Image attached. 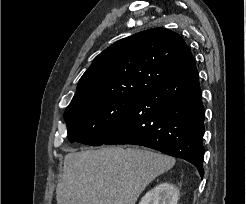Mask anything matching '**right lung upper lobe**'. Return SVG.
<instances>
[{"label":"right lung upper lobe","mask_w":246,"mask_h":204,"mask_svg":"<svg viewBox=\"0 0 246 204\" xmlns=\"http://www.w3.org/2000/svg\"><path fill=\"white\" fill-rule=\"evenodd\" d=\"M193 64L192 53L179 34L148 29L100 53L80 78L70 105L107 95L142 94Z\"/></svg>","instance_id":"1"}]
</instances>
